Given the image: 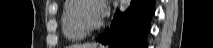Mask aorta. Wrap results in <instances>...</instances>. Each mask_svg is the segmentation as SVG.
Masks as SVG:
<instances>
[{
	"instance_id": "1",
	"label": "aorta",
	"mask_w": 213,
	"mask_h": 48,
	"mask_svg": "<svg viewBox=\"0 0 213 48\" xmlns=\"http://www.w3.org/2000/svg\"><path fill=\"white\" fill-rule=\"evenodd\" d=\"M131 5V0H120L119 1V10L125 12Z\"/></svg>"
}]
</instances>
